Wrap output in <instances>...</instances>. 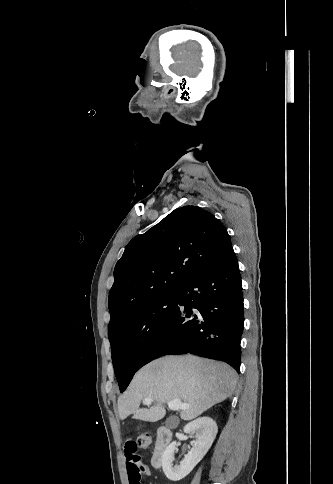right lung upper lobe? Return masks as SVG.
Instances as JSON below:
<instances>
[{"instance_id":"obj_1","label":"right lung upper lobe","mask_w":333,"mask_h":484,"mask_svg":"<svg viewBox=\"0 0 333 484\" xmlns=\"http://www.w3.org/2000/svg\"><path fill=\"white\" fill-rule=\"evenodd\" d=\"M229 246L226 228L211 213L193 205L173 210L134 237L117 262L109 325L150 299L179 292Z\"/></svg>"}]
</instances>
